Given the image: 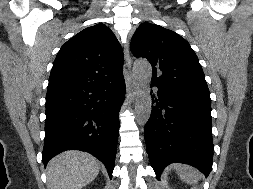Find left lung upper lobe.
Here are the masks:
<instances>
[{
  "mask_svg": "<svg viewBox=\"0 0 253 189\" xmlns=\"http://www.w3.org/2000/svg\"><path fill=\"white\" fill-rule=\"evenodd\" d=\"M131 51L152 65V85L211 104L199 60L179 34L159 25L142 23L131 40Z\"/></svg>",
  "mask_w": 253,
  "mask_h": 189,
  "instance_id": "5c2ea615",
  "label": "left lung upper lobe"
}]
</instances>
